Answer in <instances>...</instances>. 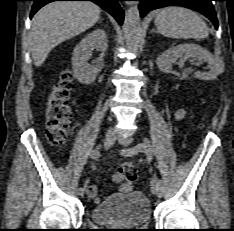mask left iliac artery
<instances>
[{"mask_svg": "<svg viewBox=\"0 0 234 231\" xmlns=\"http://www.w3.org/2000/svg\"><path fill=\"white\" fill-rule=\"evenodd\" d=\"M144 152L147 155H152L154 153V148L149 142L139 143L135 147L129 148V149H123L121 153L124 156H132L137 152ZM158 195H163V187L161 182H159V189H158Z\"/></svg>", "mask_w": 234, "mask_h": 231, "instance_id": "left-iliac-artery-1", "label": "left iliac artery"}]
</instances>
